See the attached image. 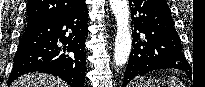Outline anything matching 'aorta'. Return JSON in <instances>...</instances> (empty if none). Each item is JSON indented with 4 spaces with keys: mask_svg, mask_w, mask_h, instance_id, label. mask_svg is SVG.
Listing matches in <instances>:
<instances>
[{
    "mask_svg": "<svg viewBox=\"0 0 205 87\" xmlns=\"http://www.w3.org/2000/svg\"><path fill=\"white\" fill-rule=\"evenodd\" d=\"M109 4L117 24L114 62L116 66H123L128 61L132 47L128 3L127 0H109Z\"/></svg>",
    "mask_w": 205,
    "mask_h": 87,
    "instance_id": "762f6f07",
    "label": "aorta"
}]
</instances>
